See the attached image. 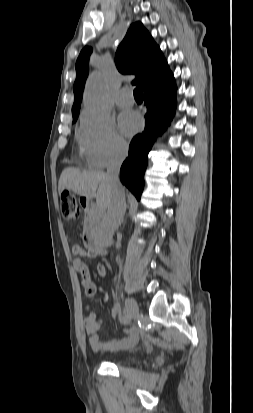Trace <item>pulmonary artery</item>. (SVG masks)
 I'll return each instance as SVG.
<instances>
[{"instance_id": "e3ab8cb5", "label": "pulmonary artery", "mask_w": 253, "mask_h": 413, "mask_svg": "<svg viewBox=\"0 0 253 413\" xmlns=\"http://www.w3.org/2000/svg\"><path fill=\"white\" fill-rule=\"evenodd\" d=\"M115 102L120 107H129L134 104V98L128 89H122L118 92Z\"/></svg>"}]
</instances>
